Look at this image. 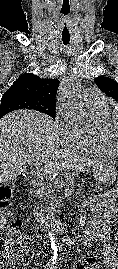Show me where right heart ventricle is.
I'll list each match as a JSON object with an SVG mask.
<instances>
[{
  "mask_svg": "<svg viewBox=\"0 0 118 269\" xmlns=\"http://www.w3.org/2000/svg\"><path fill=\"white\" fill-rule=\"evenodd\" d=\"M93 112L100 120L106 118L111 113L107 108ZM78 148L81 152L86 154L118 157V154L111 148L109 143L103 138L101 131L89 134V137L86 140V142Z\"/></svg>",
  "mask_w": 118,
  "mask_h": 269,
  "instance_id": "obj_1",
  "label": "right heart ventricle"
}]
</instances>
